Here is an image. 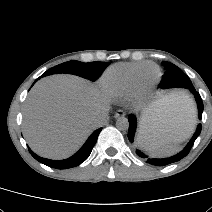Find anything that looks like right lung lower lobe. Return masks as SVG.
<instances>
[{
  "mask_svg": "<svg viewBox=\"0 0 212 212\" xmlns=\"http://www.w3.org/2000/svg\"><path fill=\"white\" fill-rule=\"evenodd\" d=\"M44 76H47V73H44L38 79H40L41 77H44ZM38 79H36L35 82ZM101 130H102V128L95 130L92 133V135L87 139L85 144L81 147V149L77 153H75L73 156H71L70 158L65 159V160H50V159L39 157L33 151H31L30 148H29V152L37 161H39L49 167L56 168V169L72 168V167L80 165L82 162H84L89 157Z\"/></svg>",
  "mask_w": 212,
  "mask_h": 212,
  "instance_id": "1",
  "label": "right lung lower lobe"
}]
</instances>
